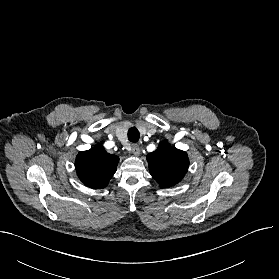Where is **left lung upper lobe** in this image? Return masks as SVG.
<instances>
[{"mask_svg":"<svg viewBox=\"0 0 279 279\" xmlns=\"http://www.w3.org/2000/svg\"><path fill=\"white\" fill-rule=\"evenodd\" d=\"M147 161L150 174L162 188L179 183L189 166L186 152L170 146L166 140L147 155Z\"/></svg>","mask_w":279,"mask_h":279,"instance_id":"5c2ea615","label":"left lung upper lobe"}]
</instances>
